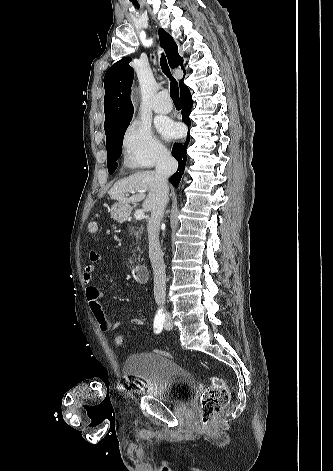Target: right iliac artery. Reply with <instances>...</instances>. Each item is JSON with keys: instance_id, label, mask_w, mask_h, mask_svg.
Wrapping results in <instances>:
<instances>
[{"instance_id": "right-iliac-artery-1", "label": "right iliac artery", "mask_w": 333, "mask_h": 471, "mask_svg": "<svg viewBox=\"0 0 333 471\" xmlns=\"http://www.w3.org/2000/svg\"><path fill=\"white\" fill-rule=\"evenodd\" d=\"M165 315L161 312H158L154 319V330L155 333H160L163 329Z\"/></svg>"}]
</instances>
